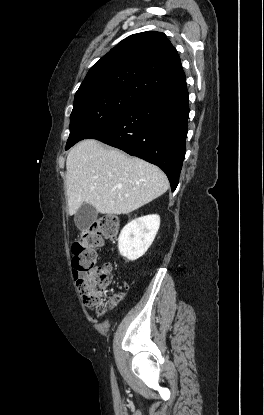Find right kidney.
Segmentation results:
<instances>
[{
  "label": "right kidney",
  "mask_w": 264,
  "mask_h": 415,
  "mask_svg": "<svg viewBox=\"0 0 264 415\" xmlns=\"http://www.w3.org/2000/svg\"><path fill=\"white\" fill-rule=\"evenodd\" d=\"M160 226L157 214L142 216L129 222L118 238L120 254L130 261L137 260L151 246Z\"/></svg>",
  "instance_id": "obj_1"
}]
</instances>
